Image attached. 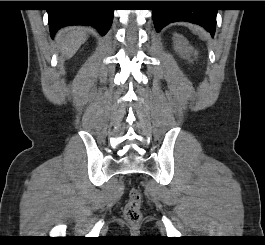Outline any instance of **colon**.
Wrapping results in <instances>:
<instances>
[{"instance_id":"1","label":"colon","mask_w":265,"mask_h":245,"mask_svg":"<svg viewBox=\"0 0 265 245\" xmlns=\"http://www.w3.org/2000/svg\"><path fill=\"white\" fill-rule=\"evenodd\" d=\"M141 203L142 199L139 190L132 188L123 211L125 219L132 225L138 224L142 219Z\"/></svg>"}]
</instances>
